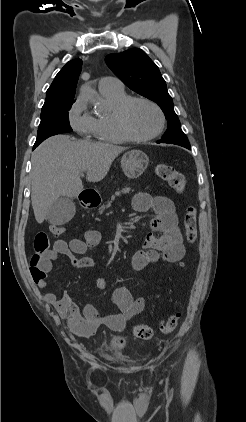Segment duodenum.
I'll return each instance as SVG.
<instances>
[{
  "label": "duodenum",
  "mask_w": 246,
  "mask_h": 422,
  "mask_svg": "<svg viewBox=\"0 0 246 422\" xmlns=\"http://www.w3.org/2000/svg\"><path fill=\"white\" fill-rule=\"evenodd\" d=\"M82 202L88 208H95L99 204V198L94 195H88L82 198Z\"/></svg>",
  "instance_id": "duodenum-1"
}]
</instances>
